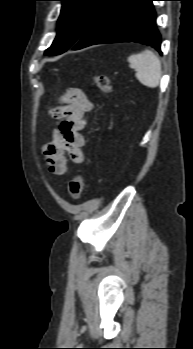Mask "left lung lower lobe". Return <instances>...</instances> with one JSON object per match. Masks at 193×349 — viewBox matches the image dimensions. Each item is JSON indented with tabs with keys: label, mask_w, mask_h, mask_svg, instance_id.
<instances>
[{
	"label": "left lung lower lobe",
	"mask_w": 193,
	"mask_h": 349,
	"mask_svg": "<svg viewBox=\"0 0 193 349\" xmlns=\"http://www.w3.org/2000/svg\"><path fill=\"white\" fill-rule=\"evenodd\" d=\"M152 1L110 0L72 49L133 41L152 45L161 53V37L156 28Z\"/></svg>",
	"instance_id": "1"
}]
</instances>
